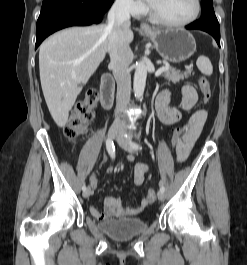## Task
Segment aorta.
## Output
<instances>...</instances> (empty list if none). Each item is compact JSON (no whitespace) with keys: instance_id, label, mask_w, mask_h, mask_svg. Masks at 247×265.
<instances>
[{"instance_id":"1","label":"aorta","mask_w":247,"mask_h":265,"mask_svg":"<svg viewBox=\"0 0 247 265\" xmlns=\"http://www.w3.org/2000/svg\"><path fill=\"white\" fill-rule=\"evenodd\" d=\"M146 78H147L146 65L144 62H140L136 66L134 73V83H133L134 94L137 99L141 98L144 93Z\"/></svg>"}]
</instances>
